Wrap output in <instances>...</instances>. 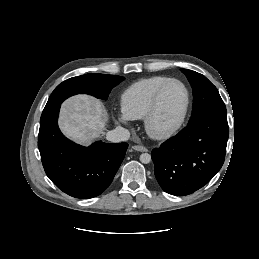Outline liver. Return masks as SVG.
<instances>
[{
  "mask_svg": "<svg viewBox=\"0 0 259 259\" xmlns=\"http://www.w3.org/2000/svg\"><path fill=\"white\" fill-rule=\"evenodd\" d=\"M103 104L88 95H76L61 106L59 127L69 139L90 145L104 134L107 116Z\"/></svg>",
  "mask_w": 259,
  "mask_h": 259,
  "instance_id": "1",
  "label": "liver"
}]
</instances>
